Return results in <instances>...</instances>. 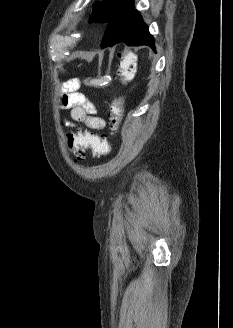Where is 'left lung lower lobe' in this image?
<instances>
[{"instance_id":"obj_1","label":"left lung lower lobe","mask_w":233,"mask_h":328,"mask_svg":"<svg viewBox=\"0 0 233 328\" xmlns=\"http://www.w3.org/2000/svg\"><path fill=\"white\" fill-rule=\"evenodd\" d=\"M124 42L129 46L149 45L155 51L154 39L139 12L133 7V0L111 21L103 36L101 47Z\"/></svg>"}]
</instances>
